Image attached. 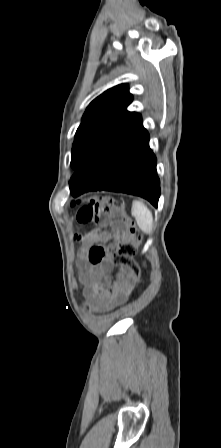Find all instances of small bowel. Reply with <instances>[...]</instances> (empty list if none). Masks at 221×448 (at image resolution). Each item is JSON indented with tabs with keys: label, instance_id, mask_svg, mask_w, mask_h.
I'll list each match as a JSON object with an SVG mask.
<instances>
[{
	"label": "small bowel",
	"instance_id": "obj_1",
	"mask_svg": "<svg viewBox=\"0 0 221 448\" xmlns=\"http://www.w3.org/2000/svg\"><path fill=\"white\" fill-rule=\"evenodd\" d=\"M127 240V233L119 225L110 224L109 233H99L93 239L83 242L80 252L82 258L80 279L85 286L87 303L96 312H106L125 303L134 289L135 282L125 268L114 266L108 260L96 265L85 262L86 250L93 241L115 244ZM113 271H115L114 277Z\"/></svg>",
	"mask_w": 221,
	"mask_h": 448
}]
</instances>
